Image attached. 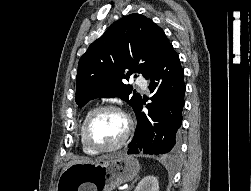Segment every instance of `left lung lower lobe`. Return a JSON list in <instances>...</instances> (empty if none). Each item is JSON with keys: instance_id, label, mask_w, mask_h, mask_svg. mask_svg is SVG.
<instances>
[{"instance_id": "left-lung-lower-lobe-1", "label": "left lung lower lobe", "mask_w": 251, "mask_h": 191, "mask_svg": "<svg viewBox=\"0 0 251 191\" xmlns=\"http://www.w3.org/2000/svg\"><path fill=\"white\" fill-rule=\"evenodd\" d=\"M183 76L179 57L172 48L151 76L149 89L156 92L151 98L153 103L147 105L151 120L142 112L145 100L135 111L137 128L128 154L172 156L176 153L186 90Z\"/></svg>"}]
</instances>
